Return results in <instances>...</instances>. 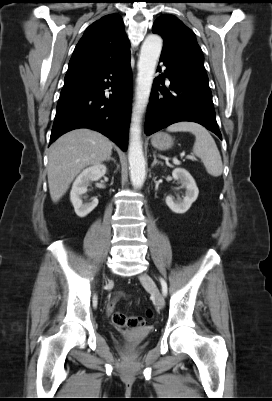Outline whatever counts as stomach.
<instances>
[{
  "instance_id": "stomach-1",
  "label": "stomach",
  "mask_w": 272,
  "mask_h": 401,
  "mask_svg": "<svg viewBox=\"0 0 272 401\" xmlns=\"http://www.w3.org/2000/svg\"><path fill=\"white\" fill-rule=\"evenodd\" d=\"M151 144L155 149H158L160 151H165L173 146L174 141L169 134L165 132H158L152 136Z\"/></svg>"
}]
</instances>
